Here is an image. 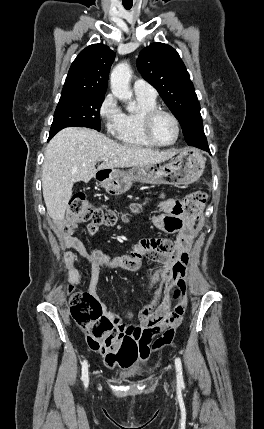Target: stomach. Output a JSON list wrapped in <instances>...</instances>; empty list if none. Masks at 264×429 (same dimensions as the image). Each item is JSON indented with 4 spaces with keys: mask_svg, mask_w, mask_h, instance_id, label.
I'll list each match as a JSON object with an SVG mask.
<instances>
[{
    "mask_svg": "<svg viewBox=\"0 0 264 429\" xmlns=\"http://www.w3.org/2000/svg\"><path fill=\"white\" fill-rule=\"evenodd\" d=\"M205 168V158L194 148H185L171 162L135 166L128 171L101 169L95 174L107 193L120 195L127 192L133 182L149 184L189 185L196 182Z\"/></svg>",
    "mask_w": 264,
    "mask_h": 429,
    "instance_id": "0dacf381",
    "label": "stomach"
}]
</instances>
